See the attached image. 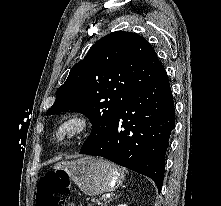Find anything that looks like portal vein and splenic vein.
<instances>
[{"instance_id": "obj_1", "label": "portal vein and splenic vein", "mask_w": 221, "mask_h": 206, "mask_svg": "<svg viewBox=\"0 0 221 206\" xmlns=\"http://www.w3.org/2000/svg\"><path fill=\"white\" fill-rule=\"evenodd\" d=\"M102 199H107V196H106V195H103V196H102Z\"/></svg>"}]
</instances>
